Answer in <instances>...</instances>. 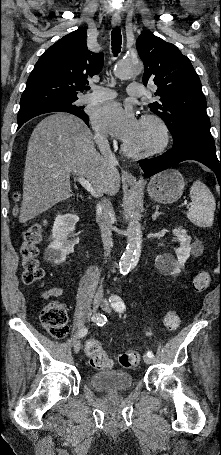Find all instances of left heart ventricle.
Masks as SVG:
<instances>
[{"label":"left heart ventricle","mask_w":221,"mask_h":455,"mask_svg":"<svg viewBox=\"0 0 221 455\" xmlns=\"http://www.w3.org/2000/svg\"><path fill=\"white\" fill-rule=\"evenodd\" d=\"M157 139L158 135L152 124L139 123L136 134L127 143L136 148H143L153 145Z\"/></svg>","instance_id":"obj_1"}]
</instances>
